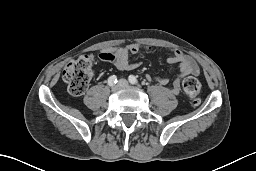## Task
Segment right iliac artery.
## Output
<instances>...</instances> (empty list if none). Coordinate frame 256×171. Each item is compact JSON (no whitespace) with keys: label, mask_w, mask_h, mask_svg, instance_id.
<instances>
[{"label":"right iliac artery","mask_w":256,"mask_h":171,"mask_svg":"<svg viewBox=\"0 0 256 171\" xmlns=\"http://www.w3.org/2000/svg\"><path fill=\"white\" fill-rule=\"evenodd\" d=\"M117 83V77L115 75H112L108 78V85L112 86Z\"/></svg>","instance_id":"1"}]
</instances>
